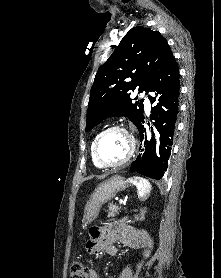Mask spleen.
Listing matches in <instances>:
<instances>
[{"label":"spleen","mask_w":221,"mask_h":278,"mask_svg":"<svg viewBox=\"0 0 221 278\" xmlns=\"http://www.w3.org/2000/svg\"><path fill=\"white\" fill-rule=\"evenodd\" d=\"M128 182L137 187L138 197L140 199H146L151 191V184L149 181L142 177L129 178Z\"/></svg>","instance_id":"3e777b00"}]
</instances>
